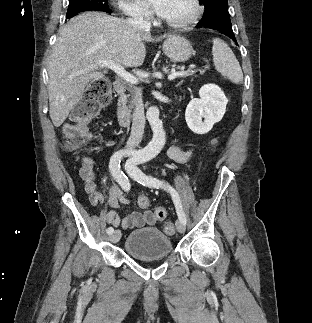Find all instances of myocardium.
Wrapping results in <instances>:
<instances>
[{"mask_svg":"<svg viewBox=\"0 0 312 323\" xmlns=\"http://www.w3.org/2000/svg\"><path fill=\"white\" fill-rule=\"evenodd\" d=\"M200 0H187L189 4H194L189 8L188 18H166V25H194L195 21H201L206 11L205 3H199Z\"/></svg>","mask_w":312,"mask_h":323,"instance_id":"myocardium-1","label":"myocardium"}]
</instances>
